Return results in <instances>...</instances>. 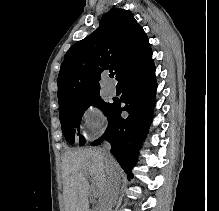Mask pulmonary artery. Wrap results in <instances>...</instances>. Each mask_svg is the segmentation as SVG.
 Instances as JSON below:
<instances>
[{"mask_svg": "<svg viewBox=\"0 0 219 211\" xmlns=\"http://www.w3.org/2000/svg\"><path fill=\"white\" fill-rule=\"evenodd\" d=\"M107 91H108V94L111 96H114L116 94V87L113 84L112 80L108 81Z\"/></svg>", "mask_w": 219, "mask_h": 211, "instance_id": "obj_1", "label": "pulmonary artery"}]
</instances>
